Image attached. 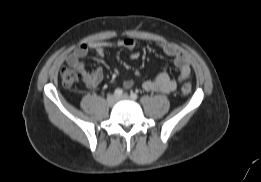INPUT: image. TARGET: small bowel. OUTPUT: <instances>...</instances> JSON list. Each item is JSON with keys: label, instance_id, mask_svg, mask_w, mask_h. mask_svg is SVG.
<instances>
[{"label": "small bowel", "instance_id": "c3829d8e", "mask_svg": "<svg viewBox=\"0 0 261 182\" xmlns=\"http://www.w3.org/2000/svg\"><path fill=\"white\" fill-rule=\"evenodd\" d=\"M136 40L125 38L117 41L89 42L80 45L67 58V64L75 69L82 77L83 83L87 88L97 87L103 80L104 74L101 68L88 71L82 59L87 56L89 49H93L98 57H104L109 48H125L129 51L132 59H138L140 54L136 50ZM157 47L167 56L174 59L175 65L179 69V80L183 81L190 77L191 67L189 57L174 45L165 42H158ZM133 86L132 80L123 82V87L129 89ZM177 83L170 77L167 71H162L154 79L143 82L142 88L150 92L169 93L176 89Z\"/></svg>", "mask_w": 261, "mask_h": 182}]
</instances>
